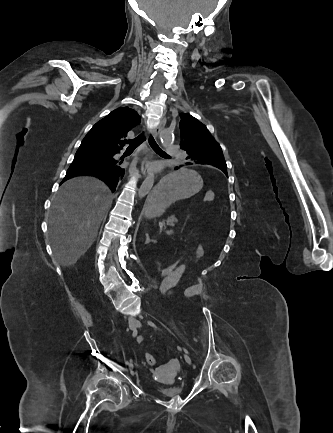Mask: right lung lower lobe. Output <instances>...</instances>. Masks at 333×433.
I'll return each mask as SVG.
<instances>
[{
  "instance_id": "1",
  "label": "right lung lower lobe",
  "mask_w": 333,
  "mask_h": 433,
  "mask_svg": "<svg viewBox=\"0 0 333 433\" xmlns=\"http://www.w3.org/2000/svg\"><path fill=\"white\" fill-rule=\"evenodd\" d=\"M81 146L93 147L87 140L82 141ZM116 153L102 157L75 155L62 182L75 176L91 175L104 181L112 191H115L119 179H122L125 172L123 160L114 157Z\"/></svg>"
}]
</instances>
